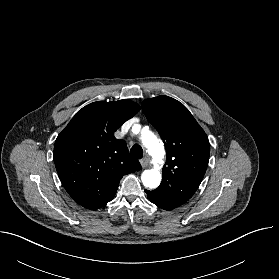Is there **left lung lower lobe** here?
Returning <instances> with one entry per match:
<instances>
[{"mask_svg": "<svg viewBox=\"0 0 279 279\" xmlns=\"http://www.w3.org/2000/svg\"><path fill=\"white\" fill-rule=\"evenodd\" d=\"M147 195H148V199L154 203L155 205H157L158 207L165 209V210H172L175 209L176 207L184 204L182 202L179 201H171V200H165L153 195L148 194V192L146 191Z\"/></svg>", "mask_w": 279, "mask_h": 279, "instance_id": "1", "label": "left lung lower lobe"}]
</instances>
